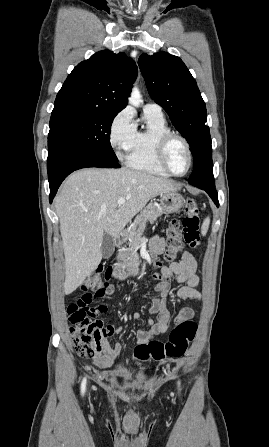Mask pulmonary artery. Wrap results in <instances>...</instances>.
Instances as JSON below:
<instances>
[{
  "label": "pulmonary artery",
  "mask_w": 269,
  "mask_h": 447,
  "mask_svg": "<svg viewBox=\"0 0 269 447\" xmlns=\"http://www.w3.org/2000/svg\"><path fill=\"white\" fill-rule=\"evenodd\" d=\"M144 111L148 113H153L158 116H163L162 107L157 103H147L144 106Z\"/></svg>",
  "instance_id": "obj_1"
}]
</instances>
